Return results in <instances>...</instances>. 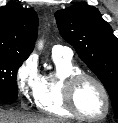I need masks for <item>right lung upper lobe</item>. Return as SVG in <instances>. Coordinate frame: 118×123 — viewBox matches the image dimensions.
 <instances>
[{"mask_svg":"<svg viewBox=\"0 0 118 123\" xmlns=\"http://www.w3.org/2000/svg\"><path fill=\"white\" fill-rule=\"evenodd\" d=\"M38 33V16L32 9L10 2L0 7V54L28 58Z\"/></svg>","mask_w":118,"mask_h":123,"instance_id":"obj_1","label":"right lung upper lobe"}]
</instances>
